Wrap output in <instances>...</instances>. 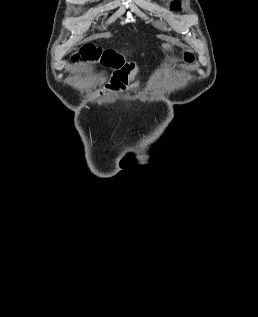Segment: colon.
I'll use <instances>...</instances> for the list:
<instances>
[{
    "instance_id": "obj_1",
    "label": "colon",
    "mask_w": 258,
    "mask_h": 317,
    "mask_svg": "<svg viewBox=\"0 0 258 317\" xmlns=\"http://www.w3.org/2000/svg\"><path fill=\"white\" fill-rule=\"evenodd\" d=\"M187 62L192 63L194 56L190 52L184 54ZM74 63L80 64H100L110 69H118L121 66L122 58L114 50H105L101 47L88 43L83 45L72 57Z\"/></svg>"
}]
</instances>
